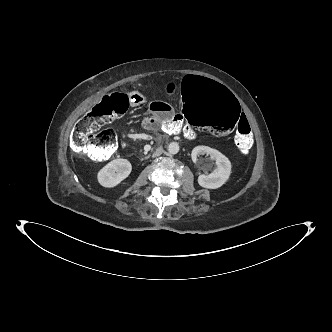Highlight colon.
<instances>
[{
  "label": "colon",
  "instance_id": "1",
  "mask_svg": "<svg viewBox=\"0 0 332 332\" xmlns=\"http://www.w3.org/2000/svg\"><path fill=\"white\" fill-rule=\"evenodd\" d=\"M176 105L184 117L183 124L177 117L162 121L166 129H177L192 124L204 133L221 137L235 129V144L242 154H247L253 139L250 124L241 118L237 98L209 75L193 72L178 82L175 90ZM136 94L112 93L104 96L80 118L70 138V148L76 156H86L94 161H106L118 146V138L111 129L102 127L126 112Z\"/></svg>",
  "mask_w": 332,
  "mask_h": 332
}]
</instances>
